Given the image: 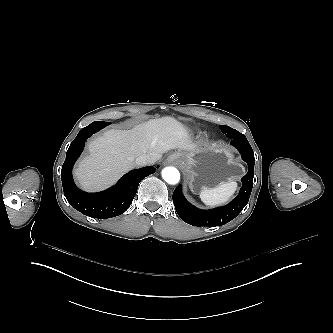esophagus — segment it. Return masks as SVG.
<instances>
[{
    "mask_svg": "<svg viewBox=\"0 0 333 333\" xmlns=\"http://www.w3.org/2000/svg\"><path fill=\"white\" fill-rule=\"evenodd\" d=\"M179 157L178 152H173L171 155L168 156L167 161L172 162L173 160H176Z\"/></svg>",
    "mask_w": 333,
    "mask_h": 333,
    "instance_id": "esophagus-1",
    "label": "esophagus"
}]
</instances>
